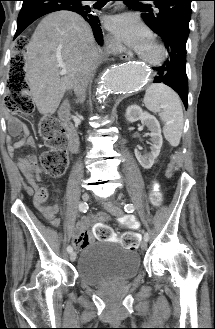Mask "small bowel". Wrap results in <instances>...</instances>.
<instances>
[{
  "label": "small bowel",
  "instance_id": "obj_1",
  "mask_svg": "<svg viewBox=\"0 0 215 329\" xmlns=\"http://www.w3.org/2000/svg\"><path fill=\"white\" fill-rule=\"evenodd\" d=\"M10 130L13 135L23 133V137L18 141L9 140L8 150L13 153L21 147L35 146L34 139L29 135L26 126L16 118L10 120ZM19 168L28 181L33 198L35 208L43 214V216L54 226L59 224V220L55 218L58 212L56 203H48V193L46 189L39 186L41 168L38 165L37 157L29 154L19 159ZM108 220L107 215L99 213L93 217H85L81 219L76 227V233L73 236V244L78 250L84 249L93 238L88 235L87 228L90 225V232L94 236V242H114L116 235L114 234L113 225H104ZM131 224H139L132 221Z\"/></svg>",
  "mask_w": 215,
  "mask_h": 329
}]
</instances>
